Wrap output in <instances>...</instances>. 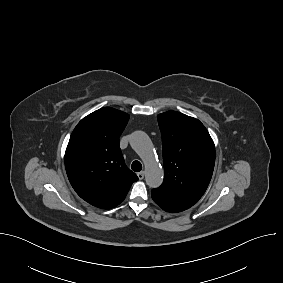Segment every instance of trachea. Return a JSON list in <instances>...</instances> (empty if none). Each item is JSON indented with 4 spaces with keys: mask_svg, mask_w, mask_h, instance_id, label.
I'll use <instances>...</instances> for the list:
<instances>
[{
    "mask_svg": "<svg viewBox=\"0 0 283 283\" xmlns=\"http://www.w3.org/2000/svg\"><path fill=\"white\" fill-rule=\"evenodd\" d=\"M131 168L133 171L139 172L142 170V164L136 160L132 163Z\"/></svg>",
    "mask_w": 283,
    "mask_h": 283,
    "instance_id": "trachea-1",
    "label": "trachea"
}]
</instances>
